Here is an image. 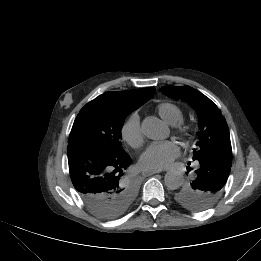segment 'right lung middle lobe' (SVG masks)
<instances>
[{
  "instance_id": "obj_1",
  "label": "right lung middle lobe",
  "mask_w": 261,
  "mask_h": 261,
  "mask_svg": "<svg viewBox=\"0 0 261 261\" xmlns=\"http://www.w3.org/2000/svg\"><path fill=\"white\" fill-rule=\"evenodd\" d=\"M136 107L119 105L98 96L77 115L68 144L85 141L99 148L103 153L125 155L120 139L125 116ZM91 201H84L95 215L112 219L124 213L135 199L137 185L135 181L124 176L120 183L98 192Z\"/></svg>"
}]
</instances>
